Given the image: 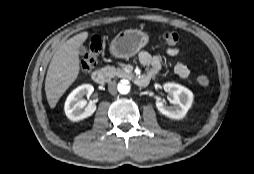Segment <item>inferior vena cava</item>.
Wrapping results in <instances>:
<instances>
[{"instance_id":"obj_1","label":"inferior vena cava","mask_w":254,"mask_h":174,"mask_svg":"<svg viewBox=\"0 0 254 174\" xmlns=\"http://www.w3.org/2000/svg\"><path fill=\"white\" fill-rule=\"evenodd\" d=\"M108 90L112 95L117 94V83L115 81H110L108 83Z\"/></svg>"}]
</instances>
